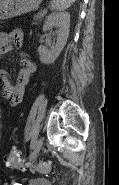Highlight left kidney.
<instances>
[{
  "instance_id": "5707ae66",
  "label": "left kidney",
  "mask_w": 119,
  "mask_h": 185,
  "mask_svg": "<svg viewBox=\"0 0 119 185\" xmlns=\"http://www.w3.org/2000/svg\"><path fill=\"white\" fill-rule=\"evenodd\" d=\"M53 27L58 28L56 30L57 42L51 50H48L44 46L38 47V53L41 63L52 64L58 58L59 54L66 45L69 28H70V13L69 12H53L45 19L43 31H49Z\"/></svg>"
}]
</instances>
